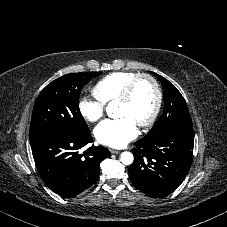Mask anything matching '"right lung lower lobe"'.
Instances as JSON below:
<instances>
[{"label": "right lung lower lobe", "mask_w": 227, "mask_h": 227, "mask_svg": "<svg viewBox=\"0 0 227 227\" xmlns=\"http://www.w3.org/2000/svg\"><path fill=\"white\" fill-rule=\"evenodd\" d=\"M90 131H48L30 140L36 167L46 185L56 194L73 198L97 182L100 162L110 156L107 148L92 145Z\"/></svg>", "instance_id": "1"}]
</instances>
